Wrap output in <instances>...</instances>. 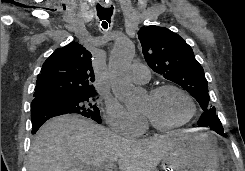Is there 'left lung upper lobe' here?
Segmentation results:
<instances>
[{
    "label": "left lung upper lobe",
    "instance_id": "left-lung-upper-lobe-1",
    "mask_svg": "<svg viewBox=\"0 0 245 171\" xmlns=\"http://www.w3.org/2000/svg\"><path fill=\"white\" fill-rule=\"evenodd\" d=\"M138 37L144 58L153 71L187 90L204 112L216 113L215 107L209 104L204 70L182 37L154 25L142 27Z\"/></svg>",
    "mask_w": 245,
    "mask_h": 171
}]
</instances>
